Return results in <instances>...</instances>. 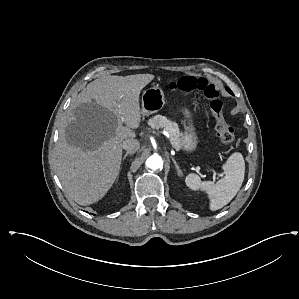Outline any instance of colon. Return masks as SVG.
Wrapping results in <instances>:
<instances>
[{
  "mask_svg": "<svg viewBox=\"0 0 299 299\" xmlns=\"http://www.w3.org/2000/svg\"><path fill=\"white\" fill-rule=\"evenodd\" d=\"M169 88L184 93L201 92L209 101L219 142L224 146L232 145L234 142V131L225 119L223 101L219 96L217 88L213 84L205 78L185 76L170 82Z\"/></svg>",
  "mask_w": 299,
  "mask_h": 299,
  "instance_id": "colon-1",
  "label": "colon"
}]
</instances>
